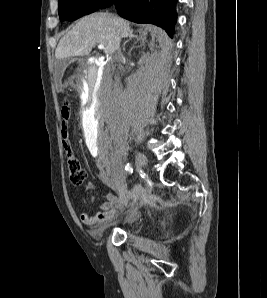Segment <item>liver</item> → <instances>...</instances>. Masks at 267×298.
Returning <instances> with one entry per match:
<instances>
[{"instance_id":"6515ba94","label":"liver","mask_w":267,"mask_h":298,"mask_svg":"<svg viewBox=\"0 0 267 298\" xmlns=\"http://www.w3.org/2000/svg\"><path fill=\"white\" fill-rule=\"evenodd\" d=\"M132 33L130 23L107 12H96L81 18L64 35L55 50L58 60L89 55L96 44L104 45V53L112 55L120 47L121 38Z\"/></svg>"}]
</instances>
